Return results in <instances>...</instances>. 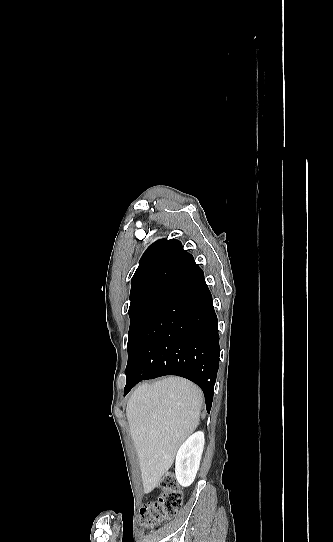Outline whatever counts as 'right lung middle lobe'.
Returning a JSON list of instances; mask_svg holds the SVG:
<instances>
[{
    "instance_id": "dd1d6c3e",
    "label": "right lung middle lobe",
    "mask_w": 333,
    "mask_h": 542,
    "mask_svg": "<svg viewBox=\"0 0 333 542\" xmlns=\"http://www.w3.org/2000/svg\"><path fill=\"white\" fill-rule=\"evenodd\" d=\"M164 296L150 299L142 304H139L134 307H129V316H130V328L128 333V364L132 362L135 356V344L138 336L140 335L149 315L162 300Z\"/></svg>"
}]
</instances>
